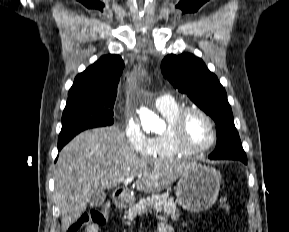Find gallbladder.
Segmentation results:
<instances>
[{"label": "gallbladder", "mask_w": 289, "mask_h": 232, "mask_svg": "<svg viewBox=\"0 0 289 232\" xmlns=\"http://www.w3.org/2000/svg\"><path fill=\"white\" fill-rule=\"evenodd\" d=\"M106 195L103 191H95L90 197V206H101L105 201Z\"/></svg>", "instance_id": "obj_1"}]
</instances>
